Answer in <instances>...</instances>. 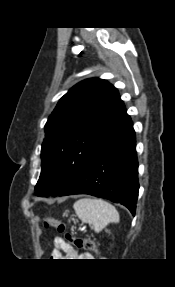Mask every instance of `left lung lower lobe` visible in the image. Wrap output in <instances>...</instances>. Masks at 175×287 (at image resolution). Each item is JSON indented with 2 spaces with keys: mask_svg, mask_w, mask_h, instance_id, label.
Masks as SVG:
<instances>
[{
  "mask_svg": "<svg viewBox=\"0 0 175 287\" xmlns=\"http://www.w3.org/2000/svg\"><path fill=\"white\" fill-rule=\"evenodd\" d=\"M138 190L136 140L130 120L99 149L86 170L58 196L89 194L120 203L135 214Z\"/></svg>",
  "mask_w": 175,
  "mask_h": 287,
  "instance_id": "obj_1",
  "label": "left lung lower lobe"
}]
</instances>
